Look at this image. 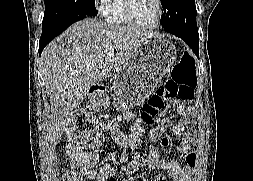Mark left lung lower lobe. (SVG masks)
Instances as JSON below:
<instances>
[{
  "label": "left lung lower lobe",
  "instance_id": "obj_1",
  "mask_svg": "<svg viewBox=\"0 0 253 181\" xmlns=\"http://www.w3.org/2000/svg\"><path fill=\"white\" fill-rule=\"evenodd\" d=\"M167 32L172 33L183 39L192 49V51L199 57V34L198 32H190L179 29H165Z\"/></svg>",
  "mask_w": 253,
  "mask_h": 181
}]
</instances>
